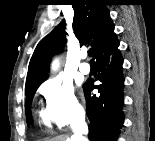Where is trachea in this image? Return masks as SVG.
I'll use <instances>...</instances> for the list:
<instances>
[{
    "label": "trachea",
    "mask_w": 155,
    "mask_h": 141,
    "mask_svg": "<svg viewBox=\"0 0 155 141\" xmlns=\"http://www.w3.org/2000/svg\"><path fill=\"white\" fill-rule=\"evenodd\" d=\"M88 55L91 57L92 56V49L88 50Z\"/></svg>",
    "instance_id": "obj_1"
}]
</instances>
